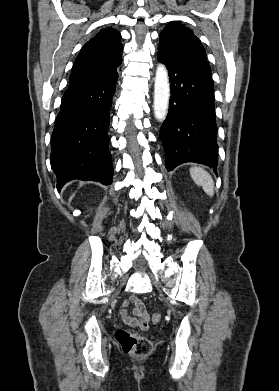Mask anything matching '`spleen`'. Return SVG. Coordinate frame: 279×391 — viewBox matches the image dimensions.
I'll return each mask as SVG.
<instances>
[{"mask_svg": "<svg viewBox=\"0 0 279 391\" xmlns=\"http://www.w3.org/2000/svg\"><path fill=\"white\" fill-rule=\"evenodd\" d=\"M190 175L208 196L212 197L214 195V181L208 172L200 167H192L190 168Z\"/></svg>", "mask_w": 279, "mask_h": 391, "instance_id": "1", "label": "spleen"}]
</instances>
